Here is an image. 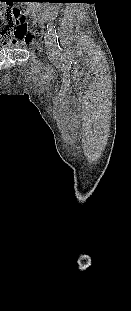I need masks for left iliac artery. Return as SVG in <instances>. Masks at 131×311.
<instances>
[{
    "instance_id": "obj_1",
    "label": "left iliac artery",
    "mask_w": 131,
    "mask_h": 311,
    "mask_svg": "<svg viewBox=\"0 0 131 311\" xmlns=\"http://www.w3.org/2000/svg\"><path fill=\"white\" fill-rule=\"evenodd\" d=\"M47 30H48L49 39H50L51 44L53 45V47L56 48V49H60V46H59V36L57 34V31H56V28H55L54 24L53 23H49L47 25Z\"/></svg>"
}]
</instances>
